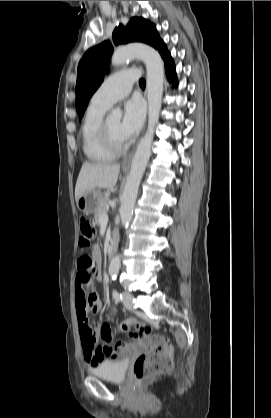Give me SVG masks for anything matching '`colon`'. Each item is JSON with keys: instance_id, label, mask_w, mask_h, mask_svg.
<instances>
[{"instance_id": "1", "label": "colon", "mask_w": 271, "mask_h": 418, "mask_svg": "<svg viewBox=\"0 0 271 418\" xmlns=\"http://www.w3.org/2000/svg\"><path fill=\"white\" fill-rule=\"evenodd\" d=\"M80 229V247L81 256L89 255L87 248L92 247L95 230L88 219L82 218L79 221ZM92 258V257H91ZM133 325L135 330L131 333V337L144 338L151 335V329L134 318H129L123 324V329H128ZM90 333V330H86ZM173 366L172 347L168 340L163 336H153L151 338V349L149 352L139 355L133 364V375L139 383L144 379L171 369Z\"/></svg>"}]
</instances>
